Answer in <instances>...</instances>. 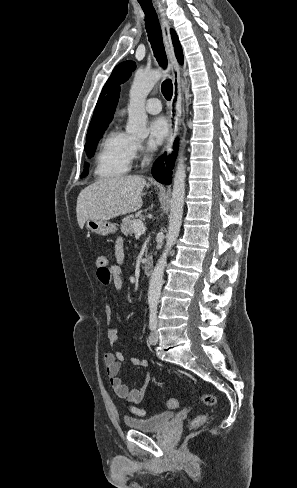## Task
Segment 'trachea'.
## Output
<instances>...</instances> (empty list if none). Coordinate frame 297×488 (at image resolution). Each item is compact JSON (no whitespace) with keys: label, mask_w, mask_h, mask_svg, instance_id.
<instances>
[{"label":"trachea","mask_w":297,"mask_h":488,"mask_svg":"<svg viewBox=\"0 0 297 488\" xmlns=\"http://www.w3.org/2000/svg\"><path fill=\"white\" fill-rule=\"evenodd\" d=\"M145 13V25L148 33V39L161 67H166L167 57L163 44L160 24L151 2H139ZM162 94L166 100H170L173 94V85L170 79H166L161 86Z\"/></svg>","instance_id":"obj_1"}]
</instances>
